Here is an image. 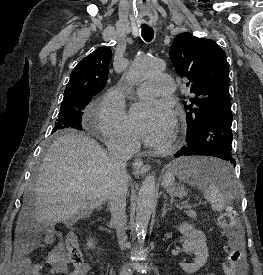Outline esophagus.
Masks as SVG:
<instances>
[{"label": "esophagus", "instance_id": "obj_1", "mask_svg": "<svg viewBox=\"0 0 263 275\" xmlns=\"http://www.w3.org/2000/svg\"><path fill=\"white\" fill-rule=\"evenodd\" d=\"M150 169L148 164H144L141 158H135L133 161V170L135 173L143 174L146 173Z\"/></svg>", "mask_w": 263, "mask_h": 275}]
</instances>
